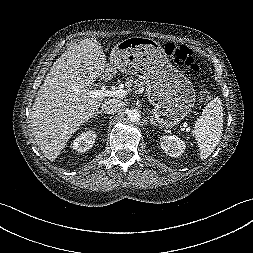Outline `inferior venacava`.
Listing matches in <instances>:
<instances>
[{"label": "inferior vena cava", "instance_id": "602c4592", "mask_svg": "<svg viewBox=\"0 0 253 253\" xmlns=\"http://www.w3.org/2000/svg\"><path fill=\"white\" fill-rule=\"evenodd\" d=\"M122 107V101L117 99H108L104 101L101 108L105 114H114L117 113Z\"/></svg>", "mask_w": 253, "mask_h": 253}]
</instances>
